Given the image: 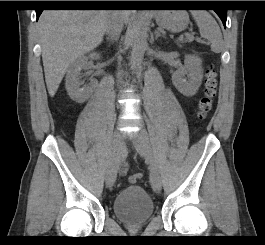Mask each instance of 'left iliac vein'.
<instances>
[{"label":"left iliac vein","mask_w":265,"mask_h":245,"mask_svg":"<svg viewBox=\"0 0 265 245\" xmlns=\"http://www.w3.org/2000/svg\"><path fill=\"white\" fill-rule=\"evenodd\" d=\"M132 140L139 155L150 164V183L156 193L161 191V176L156 159L154 158L150 139L147 131L143 128L132 134Z\"/></svg>","instance_id":"left-iliac-vein-1"}]
</instances>
